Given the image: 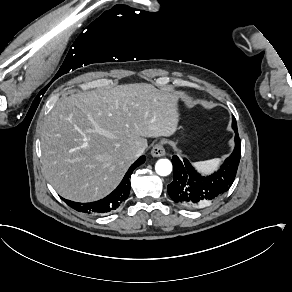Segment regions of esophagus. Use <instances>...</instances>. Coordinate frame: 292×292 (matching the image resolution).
Segmentation results:
<instances>
[{"mask_svg":"<svg viewBox=\"0 0 292 292\" xmlns=\"http://www.w3.org/2000/svg\"><path fill=\"white\" fill-rule=\"evenodd\" d=\"M151 155L153 157H161L165 155V148L162 143H157L153 146L151 150Z\"/></svg>","mask_w":292,"mask_h":292,"instance_id":"1","label":"esophagus"}]
</instances>
